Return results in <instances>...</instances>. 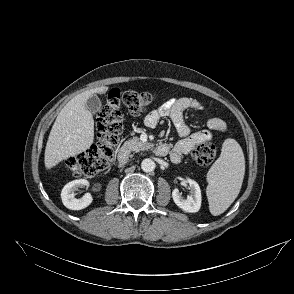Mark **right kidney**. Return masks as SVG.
Wrapping results in <instances>:
<instances>
[{
	"instance_id": "ca27d5eb",
	"label": "right kidney",
	"mask_w": 294,
	"mask_h": 294,
	"mask_svg": "<svg viewBox=\"0 0 294 294\" xmlns=\"http://www.w3.org/2000/svg\"><path fill=\"white\" fill-rule=\"evenodd\" d=\"M81 186H89V182L85 179L73 180L67 183L61 192L62 202L65 207L71 210H81L89 206L93 198L90 193H86L83 197L77 199L75 191Z\"/></svg>"
}]
</instances>
